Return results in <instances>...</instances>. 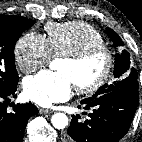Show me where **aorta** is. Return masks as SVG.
Listing matches in <instances>:
<instances>
[{"label": "aorta", "instance_id": "762f6f07", "mask_svg": "<svg viewBox=\"0 0 142 142\" xmlns=\"http://www.w3.org/2000/svg\"><path fill=\"white\" fill-rule=\"evenodd\" d=\"M54 62L50 63V68L53 67ZM51 123L56 129H64L68 125V117L64 113H55L51 118Z\"/></svg>", "mask_w": 142, "mask_h": 142}]
</instances>
